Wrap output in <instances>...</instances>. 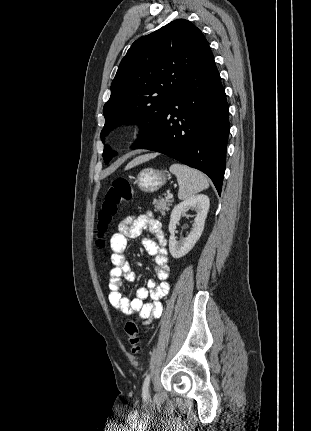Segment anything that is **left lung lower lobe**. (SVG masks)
I'll list each match as a JSON object with an SVG mask.
<instances>
[{"instance_id": "left-lung-lower-lobe-1", "label": "left lung lower lobe", "mask_w": 311, "mask_h": 431, "mask_svg": "<svg viewBox=\"0 0 311 431\" xmlns=\"http://www.w3.org/2000/svg\"><path fill=\"white\" fill-rule=\"evenodd\" d=\"M229 112L211 50L182 84L157 130L138 149L163 153L207 174L219 195L226 165Z\"/></svg>"}]
</instances>
